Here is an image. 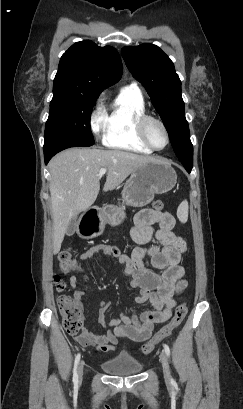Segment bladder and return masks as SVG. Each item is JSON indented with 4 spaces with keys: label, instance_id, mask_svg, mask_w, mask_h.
<instances>
[{
    "label": "bladder",
    "instance_id": "31cf9c89",
    "mask_svg": "<svg viewBox=\"0 0 243 409\" xmlns=\"http://www.w3.org/2000/svg\"><path fill=\"white\" fill-rule=\"evenodd\" d=\"M102 368L109 375L127 376L140 373L143 365L133 359H115L105 362Z\"/></svg>",
    "mask_w": 243,
    "mask_h": 409
}]
</instances>
